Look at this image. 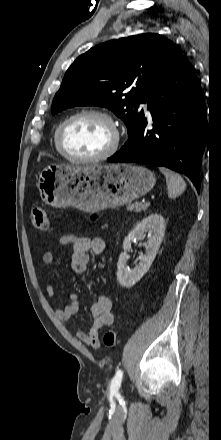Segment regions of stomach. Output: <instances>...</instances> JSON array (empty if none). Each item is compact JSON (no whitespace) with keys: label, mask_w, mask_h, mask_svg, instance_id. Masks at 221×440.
Masks as SVG:
<instances>
[{"label":"stomach","mask_w":221,"mask_h":440,"mask_svg":"<svg viewBox=\"0 0 221 440\" xmlns=\"http://www.w3.org/2000/svg\"><path fill=\"white\" fill-rule=\"evenodd\" d=\"M154 184V174L145 167L116 163L51 165L40 173L37 187L47 205L97 212L127 204L148 193Z\"/></svg>","instance_id":"obj_1"}]
</instances>
